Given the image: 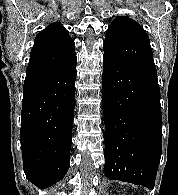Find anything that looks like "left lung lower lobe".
<instances>
[{"label": "left lung lower lobe", "instance_id": "0a47b994", "mask_svg": "<svg viewBox=\"0 0 178 195\" xmlns=\"http://www.w3.org/2000/svg\"><path fill=\"white\" fill-rule=\"evenodd\" d=\"M106 177L154 188L162 153L157 76L103 55Z\"/></svg>", "mask_w": 178, "mask_h": 195}]
</instances>
